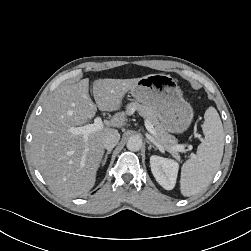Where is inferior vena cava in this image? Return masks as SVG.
I'll use <instances>...</instances> for the list:
<instances>
[{"label":"inferior vena cava","instance_id":"1","mask_svg":"<svg viewBox=\"0 0 251 251\" xmlns=\"http://www.w3.org/2000/svg\"><path fill=\"white\" fill-rule=\"evenodd\" d=\"M120 134L118 132H114L104 138L103 146L107 150L113 149L119 142Z\"/></svg>","mask_w":251,"mask_h":251}]
</instances>
